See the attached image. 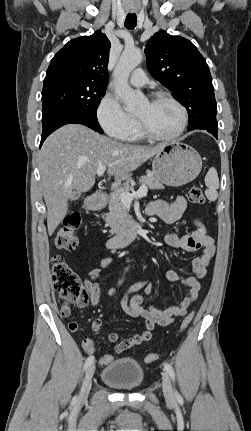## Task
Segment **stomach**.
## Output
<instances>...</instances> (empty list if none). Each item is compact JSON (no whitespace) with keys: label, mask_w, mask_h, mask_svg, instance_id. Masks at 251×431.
<instances>
[{"label":"stomach","mask_w":251,"mask_h":431,"mask_svg":"<svg viewBox=\"0 0 251 431\" xmlns=\"http://www.w3.org/2000/svg\"><path fill=\"white\" fill-rule=\"evenodd\" d=\"M202 160L200 155L184 143H169L156 154L152 162L154 176L163 184L172 187L185 185L193 181L200 173ZM101 199L88 203L92 210L103 207Z\"/></svg>","instance_id":"obj_1"}]
</instances>
